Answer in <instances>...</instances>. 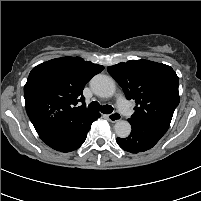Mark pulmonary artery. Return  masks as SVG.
<instances>
[{"mask_svg": "<svg viewBox=\"0 0 201 201\" xmlns=\"http://www.w3.org/2000/svg\"><path fill=\"white\" fill-rule=\"evenodd\" d=\"M118 108L123 115L125 116L131 115V108L128 102L123 97H120L118 99Z\"/></svg>", "mask_w": 201, "mask_h": 201, "instance_id": "pulmonary-artery-1", "label": "pulmonary artery"}]
</instances>
